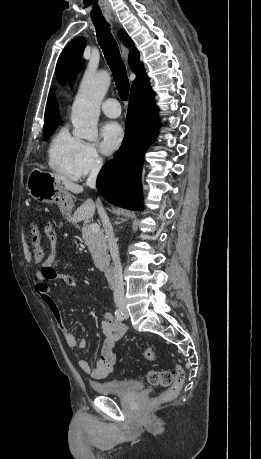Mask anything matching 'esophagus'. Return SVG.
Masks as SVG:
<instances>
[{
	"label": "esophagus",
	"mask_w": 261,
	"mask_h": 459,
	"mask_svg": "<svg viewBox=\"0 0 261 459\" xmlns=\"http://www.w3.org/2000/svg\"><path fill=\"white\" fill-rule=\"evenodd\" d=\"M120 51L123 59L127 62L129 50L120 42Z\"/></svg>",
	"instance_id": "esophagus-1"
}]
</instances>
